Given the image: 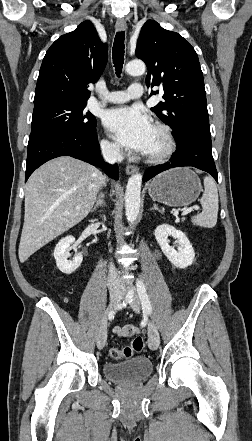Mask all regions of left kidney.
I'll return each instance as SVG.
<instances>
[{
    "mask_svg": "<svg viewBox=\"0 0 252 441\" xmlns=\"http://www.w3.org/2000/svg\"><path fill=\"white\" fill-rule=\"evenodd\" d=\"M168 236H172L178 240V250H175L174 247L169 245ZM155 238L164 255L176 267L186 268L193 263L195 258L194 249L182 231L177 230L171 225L162 224L155 229Z\"/></svg>",
    "mask_w": 252,
    "mask_h": 441,
    "instance_id": "5707ae66",
    "label": "left kidney"
}]
</instances>
